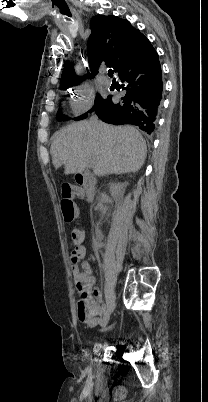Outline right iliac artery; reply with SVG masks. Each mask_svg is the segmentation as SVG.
Masks as SVG:
<instances>
[{
  "label": "right iliac artery",
  "instance_id": "obj_1",
  "mask_svg": "<svg viewBox=\"0 0 208 402\" xmlns=\"http://www.w3.org/2000/svg\"><path fill=\"white\" fill-rule=\"evenodd\" d=\"M101 309H102L103 315H105L106 314V305L103 304Z\"/></svg>",
  "mask_w": 208,
  "mask_h": 402
}]
</instances>
